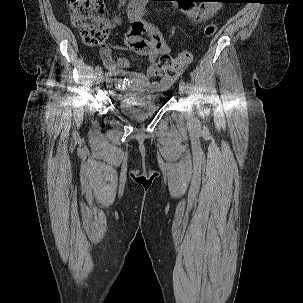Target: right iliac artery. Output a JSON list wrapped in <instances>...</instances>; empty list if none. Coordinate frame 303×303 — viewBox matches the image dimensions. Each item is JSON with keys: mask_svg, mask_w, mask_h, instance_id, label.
<instances>
[{"mask_svg": "<svg viewBox=\"0 0 303 303\" xmlns=\"http://www.w3.org/2000/svg\"><path fill=\"white\" fill-rule=\"evenodd\" d=\"M111 75H112L111 72H109V71L106 72V73H105V79L109 78Z\"/></svg>", "mask_w": 303, "mask_h": 303, "instance_id": "1", "label": "right iliac artery"}]
</instances>
